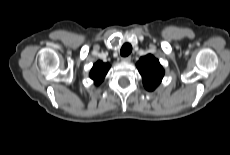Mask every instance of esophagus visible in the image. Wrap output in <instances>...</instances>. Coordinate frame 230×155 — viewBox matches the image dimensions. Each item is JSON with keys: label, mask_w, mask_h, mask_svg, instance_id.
<instances>
[{"label": "esophagus", "mask_w": 230, "mask_h": 155, "mask_svg": "<svg viewBox=\"0 0 230 155\" xmlns=\"http://www.w3.org/2000/svg\"><path fill=\"white\" fill-rule=\"evenodd\" d=\"M123 62H130L131 61V56H127L121 59Z\"/></svg>", "instance_id": "obj_1"}]
</instances>
